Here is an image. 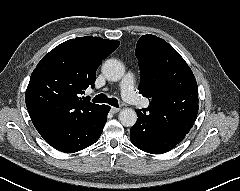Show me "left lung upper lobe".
I'll return each instance as SVG.
<instances>
[{"mask_svg": "<svg viewBox=\"0 0 240 191\" xmlns=\"http://www.w3.org/2000/svg\"><path fill=\"white\" fill-rule=\"evenodd\" d=\"M140 93L152 100L148 111L157 120L192 121L198 113L196 79L180 54L163 39L143 35L137 42Z\"/></svg>", "mask_w": 240, "mask_h": 191, "instance_id": "5c2ea615", "label": "left lung upper lobe"}]
</instances>
